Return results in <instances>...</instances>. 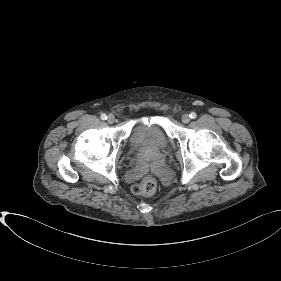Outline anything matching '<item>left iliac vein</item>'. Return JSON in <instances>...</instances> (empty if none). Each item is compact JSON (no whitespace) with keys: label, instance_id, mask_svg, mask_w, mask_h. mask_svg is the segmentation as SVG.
Masks as SVG:
<instances>
[{"label":"left iliac vein","instance_id":"obj_1","mask_svg":"<svg viewBox=\"0 0 281 281\" xmlns=\"http://www.w3.org/2000/svg\"><path fill=\"white\" fill-rule=\"evenodd\" d=\"M182 122L187 124L190 121V116L188 114H184L181 118Z\"/></svg>","mask_w":281,"mask_h":281}]
</instances>
